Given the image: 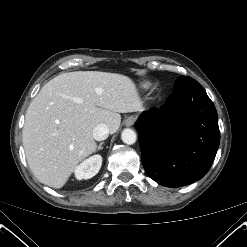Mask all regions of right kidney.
Listing matches in <instances>:
<instances>
[{
  "label": "right kidney",
  "mask_w": 247,
  "mask_h": 247,
  "mask_svg": "<svg viewBox=\"0 0 247 247\" xmlns=\"http://www.w3.org/2000/svg\"><path fill=\"white\" fill-rule=\"evenodd\" d=\"M101 165L102 157L100 155H93L76 167L74 171L75 177L78 180L90 179L99 172Z\"/></svg>",
  "instance_id": "right-kidney-1"
}]
</instances>
